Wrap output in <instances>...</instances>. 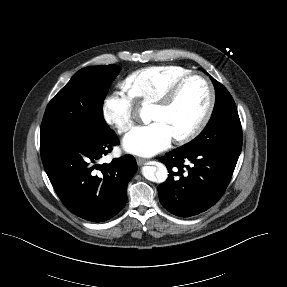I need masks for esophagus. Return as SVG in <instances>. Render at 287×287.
Listing matches in <instances>:
<instances>
[{
  "label": "esophagus",
  "mask_w": 287,
  "mask_h": 287,
  "mask_svg": "<svg viewBox=\"0 0 287 287\" xmlns=\"http://www.w3.org/2000/svg\"><path fill=\"white\" fill-rule=\"evenodd\" d=\"M136 160L139 166L144 165L146 163V160L140 157H138Z\"/></svg>",
  "instance_id": "obj_1"
}]
</instances>
